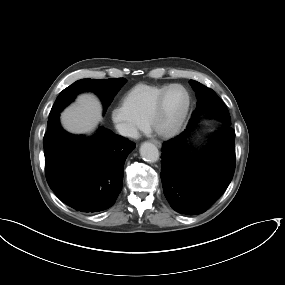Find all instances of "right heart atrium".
Instances as JSON below:
<instances>
[{
  "label": "right heart atrium",
  "mask_w": 285,
  "mask_h": 285,
  "mask_svg": "<svg viewBox=\"0 0 285 285\" xmlns=\"http://www.w3.org/2000/svg\"><path fill=\"white\" fill-rule=\"evenodd\" d=\"M110 119L116 132L125 138H134L138 131L145 128V122L137 119L129 107L121 102L110 111Z\"/></svg>",
  "instance_id": "d8ad5b80"
}]
</instances>
